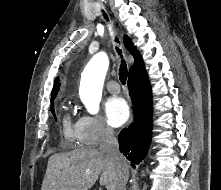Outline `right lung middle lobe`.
<instances>
[{"label":"right lung middle lobe","instance_id":"obj_1","mask_svg":"<svg viewBox=\"0 0 221 190\" xmlns=\"http://www.w3.org/2000/svg\"><path fill=\"white\" fill-rule=\"evenodd\" d=\"M51 112L53 113V116L56 118L55 112H54V104L53 101H51Z\"/></svg>","mask_w":221,"mask_h":190}]
</instances>
